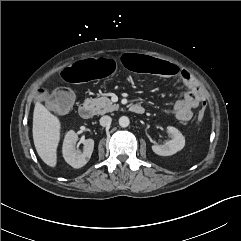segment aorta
<instances>
[{
  "mask_svg": "<svg viewBox=\"0 0 241 241\" xmlns=\"http://www.w3.org/2000/svg\"><path fill=\"white\" fill-rule=\"evenodd\" d=\"M130 124V120L126 116H122L119 118V125L123 128L128 127Z\"/></svg>",
  "mask_w": 241,
  "mask_h": 241,
  "instance_id": "obj_1",
  "label": "aorta"
}]
</instances>
